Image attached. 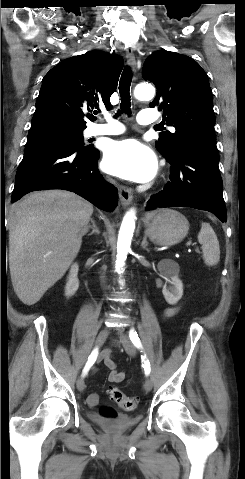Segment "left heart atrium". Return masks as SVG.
<instances>
[{
    "label": "left heart atrium",
    "instance_id": "39dd6f15",
    "mask_svg": "<svg viewBox=\"0 0 245 479\" xmlns=\"http://www.w3.org/2000/svg\"><path fill=\"white\" fill-rule=\"evenodd\" d=\"M102 167L109 174L134 182H146L156 174L157 160L148 147L135 139H126L107 145Z\"/></svg>",
    "mask_w": 245,
    "mask_h": 479
}]
</instances>
